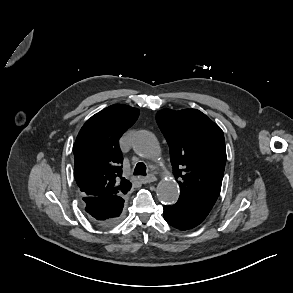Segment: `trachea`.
I'll return each mask as SVG.
<instances>
[{"label":"trachea","mask_w":293,"mask_h":293,"mask_svg":"<svg viewBox=\"0 0 293 293\" xmlns=\"http://www.w3.org/2000/svg\"><path fill=\"white\" fill-rule=\"evenodd\" d=\"M134 175L146 176V165L143 162L137 163L134 169Z\"/></svg>","instance_id":"obj_1"}]
</instances>
